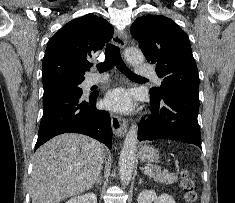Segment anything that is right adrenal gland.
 Here are the masks:
<instances>
[{
    "label": "right adrenal gland",
    "instance_id": "right-adrenal-gland-1",
    "mask_svg": "<svg viewBox=\"0 0 235 203\" xmlns=\"http://www.w3.org/2000/svg\"><path fill=\"white\" fill-rule=\"evenodd\" d=\"M102 184V178H101V174H99L96 182H95V186L101 185Z\"/></svg>",
    "mask_w": 235,
    "mask_h": 203
}]
</instances>
